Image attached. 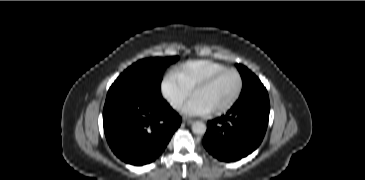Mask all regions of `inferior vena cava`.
<instances>
[{"mask_svg":"<svg viewBox=\"0 0 365 180\" xmlns=\"http://www.w3.org/2000/svg\"><path fill=\"white\" fill-rule=\"evenodd\" d=\"M179 104H181V100L180 99H176L174 101L171 102V105L176 108Z\"/></svg>","mask_w":365,"mask_h":180,"instance_id":"1","label":"inferior vena cava"}]
</instances>
